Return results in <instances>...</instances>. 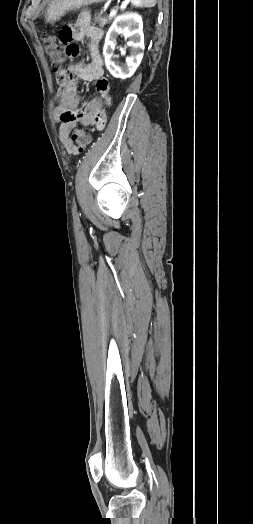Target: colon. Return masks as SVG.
<instances>
[{
  "label": "colon",
  "instance_id": "obj_1",
  "mask_svg": "<svg viewBox=\"0 0 253 524\" xmlns=\"http://www.w3.org/2000/svg\"><path fill=\"white\" fill-rule=\"evenodd\" d=\"M42 41L52 68L56 71L60 70L63 63L66 61L64 54L65 44L59 43L58 34L56 35L49 31L43 32ZM71 143L73 152L81 153L88 147L90 143V135L84 128H77L72 134Z\"/></svg>",
  "mask_w": 253,
  "mask_h": 524
}]
</instances>
